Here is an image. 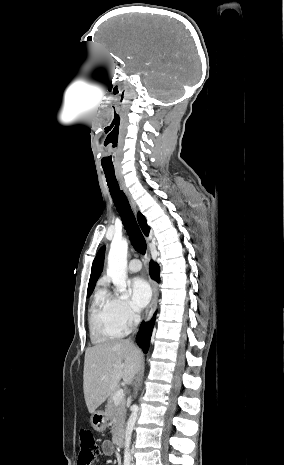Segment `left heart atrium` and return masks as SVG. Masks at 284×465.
Here are the masks:
<instances>
[{
  "label": "left heart atrium",
  "instance_id": "1",
  "mask_svg": "<svg viewBox=\"0 0 284 465\" xmlns=\"http://www.w3.org/2000/svg\"><path fill=\"white\" fill-rule=\"evenodd\" d=\"M129 303L133 309L140 311L147 306L151 298L148 283L140 277L130 280L128 285Z\"/></svg>",
  "mask_w": 284,
  "mask_h": 465
}]
</instances>
